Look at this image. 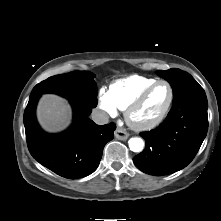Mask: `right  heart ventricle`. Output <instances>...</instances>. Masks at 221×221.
Masks as SVG:
<instances>
[{
    "label": "right heart ventricle",
    "instance_id": "e07e8e85",
    "mask_svg": "<svg viewBox=\"0 0 221 221\" xmlns=\"http://www.w3.org/2000/svg\"><path fill=\"white\" fill-rule=\"evenodd\" d=\"M155 81V78L132 75L114 81L108 91L115 106L126 110L137 96Z\"/></svg>",
    "mask_w": 221,
    "mask_h": 221
}]
</instances>
